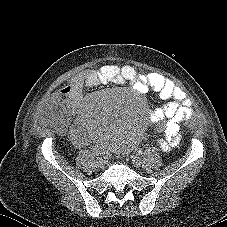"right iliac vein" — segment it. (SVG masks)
I'll use <instances>...</instances> for the list:
<instances>
[{
  "label": "right iliac vein",
  "instance_id": "obj_1",
  "mask_svg": "<svg viewBox=\"0 0 227 227\" xmlns=\"http://www.w3.org/2000/svg\"><path fill=\"white\" fill-rule=\"evenodd\" d=\"M96 165H97L99 168H103L104 165H105V161H104L102 158H97V160H96Z\"/></svg>",
  "mask_w": 227,
  "mask_h": 227
}]
</instances>
